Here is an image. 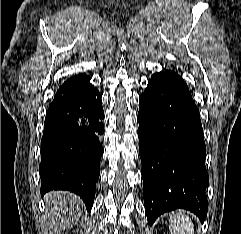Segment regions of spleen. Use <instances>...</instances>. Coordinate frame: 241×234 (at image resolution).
I'll return each mask as SVG.
<instances>
[{
    "mask_svg": "<svg viewBox=\"0 0 241 234\" xmlns=\"http://www.w3.org/2000/svg\"><path fill=\"white\" fill-rule=\"evenodd\" d=\"M171 234H194L192 221L182 212L172 213L169 218Z\"/></svg>",
    "mask_w": 241,
    "mask_h": 234,
    "instance_id": "1",
    "label": "spleen"
}]
</instances>
